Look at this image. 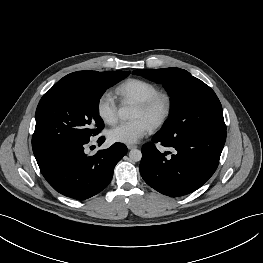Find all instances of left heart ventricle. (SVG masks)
Returning a JSON list of instances; mask_svg holds the SVG:
<instances>
[{
	"label": "left heart ventricle",
	"instance_id": "obj_1",
	"mask_svg": "<svg viewBox=\"0 0 263 263\" xmlns=\"http://www.w3.org/2000/svg\"><path fill=\"white\" fill-rule=\"evenodd\" d=\"M162 109V105H158L151 113L146 114L144 113L142 110H140L138 107L135 108L134 114H133V118L134 119H144L147 122H149L151 124L153 118L159 114V112Z\"/></svg>",
	"mask_w": 263,
	"mask_h": 263
}]
</instances>
